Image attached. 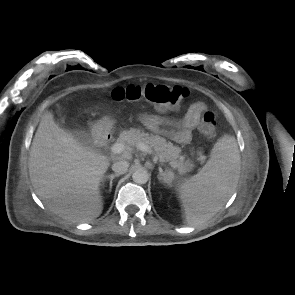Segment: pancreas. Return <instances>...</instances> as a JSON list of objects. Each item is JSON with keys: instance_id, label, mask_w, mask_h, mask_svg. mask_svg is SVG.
Listing matches in <instances>:
<instances>
[{"instance_id": "obj_1", "label": "pancreas", "mask_w": 295, "mask_h": 295, "mask_svg": "<svg viewBox=\"0 0 295 295\" xmlns=\"http://www.w3.org/2000/svg\"><path fill=\"white\" fill-rule=\"evenodd\" d=\"M118 141L129 146H135L140 143L148 145L155 151L156 156L161 162H169L171 167L178 169L182 173L190 171L194 166L190 160H185V157L180 155L181 149L179 147L167 142L160 136L145 133L139 129L131 128L130 130H124L121 132Z\"/></svg>"}]
</instances>
